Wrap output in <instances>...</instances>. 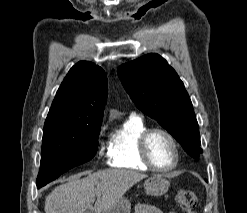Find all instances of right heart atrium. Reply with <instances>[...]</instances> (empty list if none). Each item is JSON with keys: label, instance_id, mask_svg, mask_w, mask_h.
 <instances>
[{"label": "right heart atrium", "instance_id": "right-heart-atrium-1", "mask_svg": "<svg viewBox=\"0 0 247 213\" xmlns=\"http://www.w3.org/2000/svg\"><path fill=\"white\" fill-rule=\"evenodd\" d=\"M99 155L101 157H108L109 153L105 150V148H101L100 151H99Z\"/></svg>", "mask_w": 247, "mask_h": 213}]
</instances>
